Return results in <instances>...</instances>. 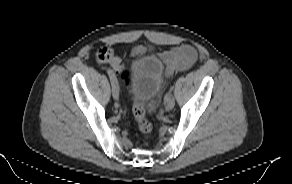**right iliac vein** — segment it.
I'll use <instances>...</instances> for the list:
<instances>
[{
    "label": "right iliac vein",
    "mask_w": 292,
    "mask_h": 184,
    "mask_svg": "<svg viewBox=\"0 0 292 184\" xmlns=\"http://www.w3.org/2000/svg\"><path fill=\"white\" fill-rule=\"evenodd\" d=\"M112 96L115 100L119 99V86L116 78L112 81Z\"/></svg>",
    "instance_id": "obj_1"
}]
</instances>
